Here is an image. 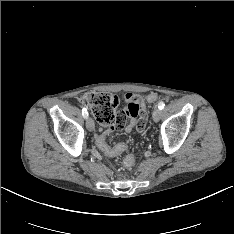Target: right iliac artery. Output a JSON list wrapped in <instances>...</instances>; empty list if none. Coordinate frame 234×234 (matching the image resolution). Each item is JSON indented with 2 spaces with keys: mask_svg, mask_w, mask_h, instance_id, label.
<instances>
[{
  "mask_svg": "<svg viewBox=\"0 0 234 234\" xmlns=\"http://www.w3.org/2000/svg\"><path fill=\"white\" fill-rule=\"evenodd\" d=\"M82 114H83V117L86 119L88 117V112H87V109L86 108H83L82 109Z\"/></svg>",
  "mask_w": 234,
  "mask_h": 234,
  "instance_id": "right-iliac-artery-1",
  "label": "right iliac artery"
}]
</instances>
